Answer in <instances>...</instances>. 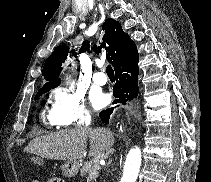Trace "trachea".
Instances as JSON below:
<instances>
[{
    "label": "trachea",
    "instance_id": "trachea-1",
    "mask_svg": "<svg viewBox=\"0 0 211 182\" xmlns=\"http://www.w3.org/2000/svg\"><path fill=\"white\" fill-rule=\"evenodd\" d=\"M106 73H107L108 76H114V70L111 67V65H107Z\"/></svg>",
    "mask_w": 211,
    "mask_h": 182
}]
</instances>
